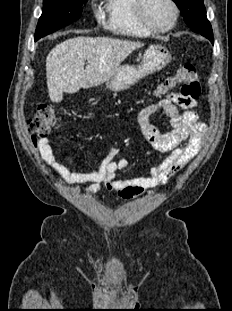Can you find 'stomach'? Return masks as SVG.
Wrapping results in <instances>:
<instances>
[{
  "label": "stomach",
  "mask_w": 232,
  "mask_h": 311,
  "mask_svg": "<svg viewBox=\"0 0 232 311\" xmlns=\"http://www.w3.org/2000/svg\"><path fill=\"white\" fill-rule=\"evenodd\" d=\"M169 51L161 45H152L145 50L139 65H122L106 82L111 91H123L148 74L160 71L170 62Z\"/></svg>",
  "instance_id": "1"
}]
</instances>
